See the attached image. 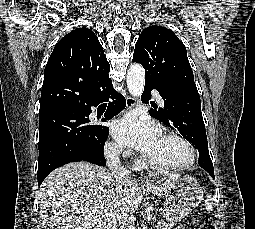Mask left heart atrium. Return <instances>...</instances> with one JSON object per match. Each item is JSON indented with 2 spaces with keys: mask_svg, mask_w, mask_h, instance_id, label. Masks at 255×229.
<instances>
[{
  "mask_svg": "<svg viewBox=\"0 0 255 229\" xmlns=\"http://www.w3.org/2000/svg\"><path fill=\"white\" fill-rule=\"evenodd\" d=\"M111 131L118 142L145 154L156 146L162 136L157 124L135 114L114 121Z\"/></svg>",
  "mask_w": 255,
  "mask_h": 229,
  "instance_id": "obj_1",
  "label": "left heart atrium"
}]
</instances>
